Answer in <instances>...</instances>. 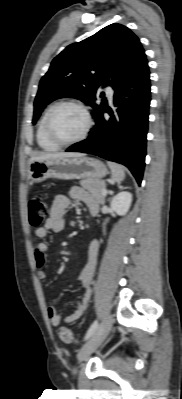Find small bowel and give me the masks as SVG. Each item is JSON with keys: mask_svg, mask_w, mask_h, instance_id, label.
Returning a JSON list of instances; mask_svg holds the SVG:
<instances>
[{"mask_svg": "<svg viewBox=\"0 0 182 399\" xmlns=\"http://www.w3.org/2000/svg\"><path fill=\"white\" fill-rule=\"evenodd\" d=\"M71 200H77L84 203L89 210L97 211L99 208L98 199L91 193L83 190L80 187H72L68 195H56L51 203L49 217L46 219L44 225L35 230L34 234L37 239L44 240L49 231L61 232L66 225L65 213L70 205ZM99 244L97 241H92L89 246L88 262L81 270L78 281L85 290L84 297L81 301L76 302V310L71 315L64 318L65 323H71L81 318L87 309L89 299L91 296V283L97 265ZM35 263L39 269V277L43 280L47 278L45 266L47 263V245L45 242H40L34 249ZM47 316L52 326L57 327L62 322V314L53 306L47 307Z\"/></svg>", "mask_w": 182, "mask_h": 399, "instance_id": "small-bowel-1", "label": "small bowel"}]
</instances>
